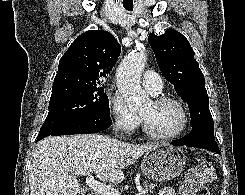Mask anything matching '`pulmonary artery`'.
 <instances>
[{
  "instance_id": "obj_1",
  "label": "pulmonary artery",
  "mask_w": 245,
  "mask_h": 195,
  "mask_svg": "<svg viewBox=\"0 0 245 195\" xmlns=\"http://www.w3.org/2000/svg\"><path fill=\"white\" fill-rule=\"evenodd\" d=\"M142 85L152 95L159 94L163 88L162 79L156 72L152 70L144 71L142 74Z\"/></svg>"
}]
</instances>
